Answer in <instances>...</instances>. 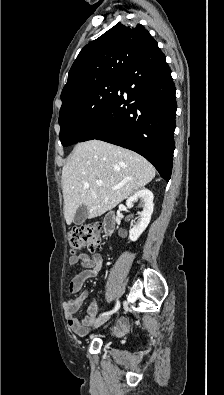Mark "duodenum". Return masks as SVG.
Segmentation results:
<instances>
[{"mask_svg": "<svg viewBox=\"0 0 224 395\" xmlns=\"http://www.w3.org/2000/svg\"><path fill=\"white\" fill-rule=\"evenodd\" d=\"M117 216L115 213H108L103 220L104 233L108 236L112 235L115 230Z\"/></svg>", "mask_w": 224, "mask_h": 395, "instance_id": "duodenum-1", "label": "duodenum"}]
</instances>
